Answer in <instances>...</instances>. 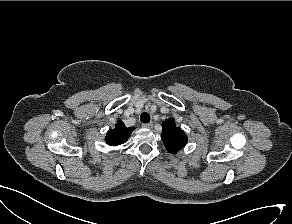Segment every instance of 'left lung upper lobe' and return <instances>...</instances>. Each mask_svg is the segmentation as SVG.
Returning <instances> with one entry per match:
<instances>
[{
  "label": "left lung upper lobe",
  "mask_w": 292,
  "mask_h": 224,
  "mask_svg": "<svg viewBox=\"0 0 292 224\" xmlns=\"http://www.w3.org/2000/svg\"><path fill=\"white\" fill-rule=\"evenodd\" d=\"M162 128L161 138L167 151L175 154L187 144V135L175 125L173 118L164 121Z\"/></svg>",
  "instance_id": "obj_1"
}]
</instances>
